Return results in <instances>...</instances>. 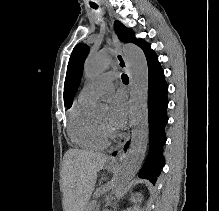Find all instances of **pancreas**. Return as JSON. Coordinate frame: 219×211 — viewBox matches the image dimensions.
Listing matches in <instances>:
<instances>
[{
	"mask_svg": "<svg viewBox=\"0 0 219 211\" xmlns=\"http://www.w3.org/2000/svg\"><path fill=\"white\" fill-rule=\"evenodd\" d=\"M99 200H90L89 203H87V211H97L96 205H99Z\"/></svg>",
	"mask_w": 219,
	"mask_h": 211,
	"instance_id": "1",
	"label": "pancreas"
}]
</instances>
